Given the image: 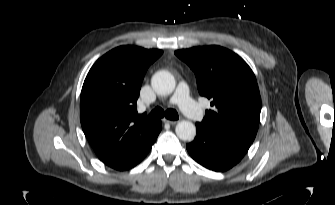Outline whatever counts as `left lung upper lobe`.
I'll return each mask as SVG.
<instances>
[{
	"mask_svg": "<svg viewBox=\"0 0 335 205\" xmlns=\"http://www.w3.org/2000/svg\"><path fill=\"white\" fill-rule=\"evenodd\" d=\"M194 71L198 91L211 100L202 127L229 138L252 143L261 112L254 73L234 52L220 46L175 51Z\"/></svg>",
	"mask_w": 335,
	"mask_h": 205,
	"instance_id": "obj_1",
	"label": "left lung upper lobe"
}]
</instances>
